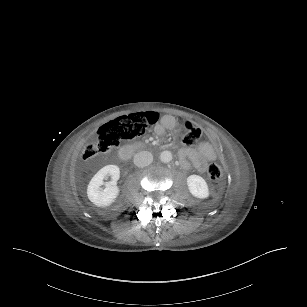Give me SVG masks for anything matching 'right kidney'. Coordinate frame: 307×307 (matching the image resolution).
Segmentation results:
<instances>
[{"label":"right kidney","instance_id":"1","mask_svg":"<svg viewBox=\"0 0 307 307\" xmlns=\"http://www.w3.org/2000/svg\"><path fill=\"white\" fill-rule=\"evenodd\" d=\"M108 175L112 176V181L106 183V188L102 189L104 185L103 179ZM120 179V168L117 165H106L100 169L94 177L91 179L88 188V199L96 207H108L111 206L116 198L119 196L120 189L117 186V181Z\"/></svg>","mask_w":307,"mask_h":307}]
</instances>
